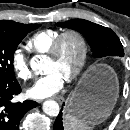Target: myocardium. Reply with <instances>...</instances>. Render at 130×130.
I'll return each mask as SVG.
<instances>
[{
    "label": "myocardium",
    "instance_id": "myocardium-1",
    "mask_svg": "<svg viewBox=\"0 0 130 130\" xmlns=\"http://www.w3.org/2000/svg\"><path fill=\"white\" fill-rule=\"evenodd\" d=\"M74 37L77 39L80 45V57L78 63L74 70L66 77L67 81H72L79 77L82 73L88 56V43L85 36L78 30L75 29H67L61 32L52 42L47 54L50 58H56L59 55L61 45L65 38L67 37Z\"/></svg>",
    "mask_w": 130,
    "mask_h": 130
}]
</instances>
